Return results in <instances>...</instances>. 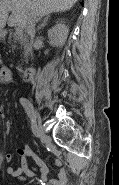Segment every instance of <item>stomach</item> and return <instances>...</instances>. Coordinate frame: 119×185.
<instances>
[{"label": "stomach", "instance_id": "1", "mask_svg": "<svg viewBox=\"0 0 119 185\" xmlns=\"http://www.w3.org/2000/svg\"><path fill=\"white\" fill-rule=\"evenodd\" d=\"M6 35V32L3 29H0V39L4 38Z\"/></svg>", "mask_w": 119, "mask_h": 185}]
</instances>
